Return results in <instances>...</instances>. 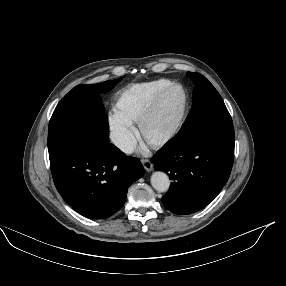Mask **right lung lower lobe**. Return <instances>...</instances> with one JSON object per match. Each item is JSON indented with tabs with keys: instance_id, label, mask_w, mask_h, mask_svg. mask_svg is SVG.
<instances>
[{
	"instance_id": "right-lung-lower-lobe-1",
	"label": "right lung lower lobe",
	"mask_w": 286,
	"mask_h": 286,
	"mask_svg": "<svg viewBox=\"0 0 286 286\" xmlns=\"http://www.w3.org/2000/svg\"><path fill=\"white\" fill-rule=\"evenodd\" d=\"M112 146L107 153L93 143L76 141L49 154L59 194L90 219H105L117 212L125 202L128 187L144 174L137 158Z\"/></svg>"
}]
</instances>
